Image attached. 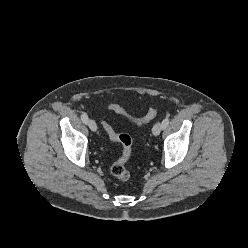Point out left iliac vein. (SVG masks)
<instances>
[{
  "label": "left iliac vein",
  "instance_id": "obj_1",
  "mask_svg": "<svg viewBox=\"0 0 248 248\" xmlns=\"http://www.w3.org/2000/svg\"><path fill=\"white\" fill-rule=\"evenodd\" d=\"M162 130V123L157 122L154 124L153 128H152V133L154 136H158L160 134Z\"/></svg>",
  "mask_w": 248,
  "mask_h": 248
}]
</instances>
